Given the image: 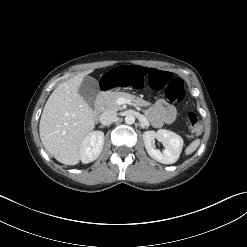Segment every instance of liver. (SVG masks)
<instances>
[{
	"label": "liver",
	"mask_w": 247,
	"mask_h": 247,
	"mask_svg": "<svg viewBox=\"0 0 247 247\" xmlns=\"http://www.w3.org/2000/svg\"><path fill=\"white\" fill-rule=\"evenodd\" d=\"M91 72H81L60 84L49 96L41 115L42 144L66 165L79 163L80 147L95 127L94 113L79 94L83 78Z\"/></svg>",
	"instance_id": "obj_1"
}]
</instances>
